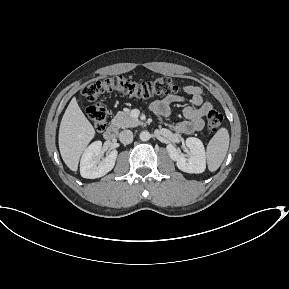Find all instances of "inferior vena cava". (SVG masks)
<instances>
[{
  "label": "inferior vena cava",
  "mask_w": 289,
  "mask_h": 289,
  "mask_svg": "<svg viewBox=\"0 0 289 289\" xmlns=\"http://www.w3.org/2000/svg\"><path fill=\"white\" fill-rule=\"evenodd\" d=\"M119 140L123 144H129L133 141V133L131 130H123L119 134Z\"/></svg>",
  "instance_id": "inferior-vena-cava-1"
}]
</instances>
